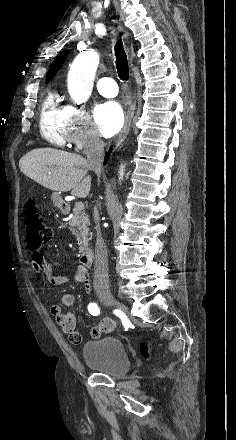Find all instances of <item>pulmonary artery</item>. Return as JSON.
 Here are the masks:
<instances>
[{
    "label": "pulmonary artery",
    "mask_w": 236,
    "mask_h": 440,
    "mask_svg": "<svg viewBox=\"0 0 236 440\" xmlns=\"http://www.w3.org/2000/svg\"><path fill=\"white\" fill-rule=\"evenodd\" d=\"M96 87L98 92L104 97H115L118 93L116 82L110 77L100 78Z\"/></svg>",
    "instance_id": "pulmonary-artery-1"
}]
</instances>
